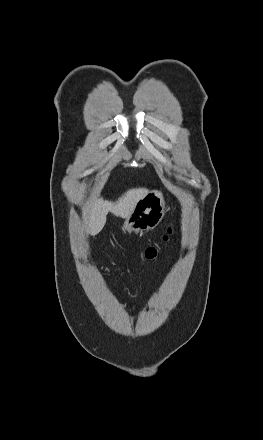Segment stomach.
<instances>
[{"mask_svg": "<svg viewBox=\"0 0 263 440\" xmlns=\"http://www.w3.org/2000/svg\"><path fill=\"white\" fill-rule=\"evenodd\" d=\"M166 211L163 194L158 190L147 191L135 202L125 219L124 228L135 232L154 229L163 220Z\"/></svg>", "mask_w": 263, "mask_h": 440, "instance_id": "0dacf381", "label": "stomach"}]
</instances>
